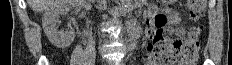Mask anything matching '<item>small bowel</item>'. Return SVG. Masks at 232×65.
Returning a JSON list of instances; mask_svg holds the SVG:
<instances>
[{"instance_id": "1", "label": "small bowel", "mask_w": 232, "mask_h": 65, "mask_svg": "<svg viewBox=\"0 0 232 65\" xmlns=\"http://www.w3.org/2000/svg\"><path fill=\"white\" fill-rule=\"evenodd\" d=\"M145 24L148 28L150 42L146 46V62L151 64V58L155 55V46L158 37H170L175 32L179 37L185 35L182 27H172L168 23V17L165 13L158 11L154 6L149 7L146 16ZM159 65H171V62H160Z\"/></svg>"}]
</instances>
